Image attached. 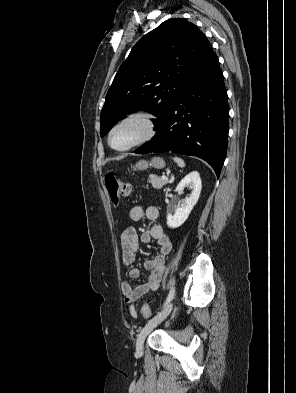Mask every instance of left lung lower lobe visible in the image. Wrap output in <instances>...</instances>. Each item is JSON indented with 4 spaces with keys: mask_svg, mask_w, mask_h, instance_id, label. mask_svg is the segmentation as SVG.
<instances>
[{
    "mask_svg": "<svg viewBox=\"0 0 296 393\" xmlns=\"http://www.w3.org/2000/svg\"><path fill=\"white\" fill-rule=\"evenodd\" d=\"M228 117L227 90L213 52L178 95L156 135L134 152L197 156L219 177L227 152Z\"/></svg>",
    "mask_w": 296,
    "mask_h": 393,
    "instance_id": "0a47b994",
    "label": "left lung lower lobe"
}]
</instances>
